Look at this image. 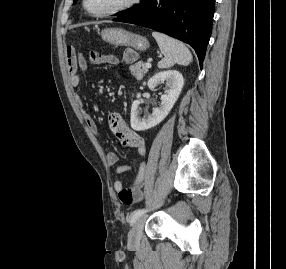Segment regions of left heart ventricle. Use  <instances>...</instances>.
<instances>
[{"instance_id": "obj_1", "label": "left heart ventricle", "mask_w": 286, "mask_h": 269, "mask_svg": "<svg viewBox=\"0 0 286 269\" xmlns=\"http://www.w3.org/2000/svg\"><path fill=\"white\" fill-rule=\"evenodd\" d=\"M126 0H88V8L92 12H103L110 9H113Z\"/></svg>"}]
</instances>
